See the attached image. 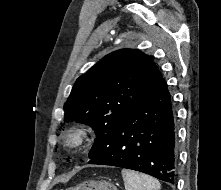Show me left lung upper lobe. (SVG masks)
<instances>
[{
	"mask_svg": "<svg viewBox=\"0 0 221 190\" xmlns=\"http://www.w3.org/2000/svg\"><path fill=\"white\" fill-rule=\"evenodd\" d=\"M162 75L139 50L120 49L81 75L64 104L65 121L90 125L97 139L89 158L107 147L115 126L148 96Z\"/></svg>",
	"mask_w": 221,
	"mask_h": 190,
	"instance_id": "1",
	"label": "left lung upper lobe"
}]
</instances>
